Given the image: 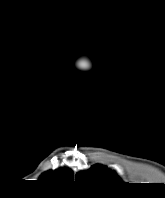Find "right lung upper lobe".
Wrapping results in <instances>:
<instances>
[{"label": "right lung upper lobe", "mask_w": 165, "mask_h": 198, "mask_svg": "<svg viewBox=\"0 0 165 198\" xmlns=\"http://www.w3.org/2000/svg\"><path fill=\"white\" fill-rule=\"evenodd\" d=\"M41 179L45 181L70 182L73 181L74 175L70 169L61 168L54 172H45L44 174H42Z\"/></svg>", "instance_id": "cb5924a9"}]
</instances>
